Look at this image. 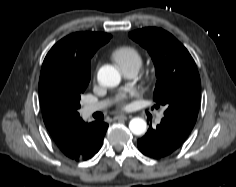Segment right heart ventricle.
Masks as SVG:
<instances>
[{"label": "right heart ventricle", "instance_id": "1", "mask_svg": "<svg viewBox=\"0 0 236 187\" xmlns=\"http://www.w3.org/2000/svg\"><path fill=\"white\" fill-rule=\"evenodd\" d=\"M111 57L122 72L137 71L143 64L141 53L132 46H119L115 48Z\"/></svg>", "mask_w": 236, "mask_h": 187}]
</instances>
